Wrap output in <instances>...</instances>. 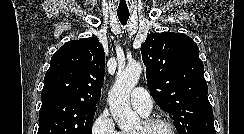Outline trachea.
<instances>
[{"label": "trachea", "instance_id": "1", "mask_svg": "<svg viewBox=\"0 0 244 134\" xmlns=\"http://www.w3.org/2000/svg\"><path fill=\"white\" fill-rule=\"evenodd\" d=\"M117 16L121 22L122 25H126L128 18H129V12L128 13H117Z\"/></svg>", "mask_w": 244, "mask_h": 134}]
</instances>
